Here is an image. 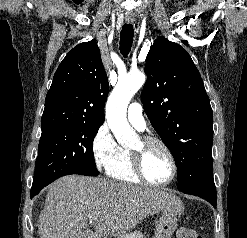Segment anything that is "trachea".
Masks as SVG:
<instances>
[{"label":"trachea","mask_w":247,"mask_h":238,"mask_svg":"<svg viewBox=\"0 0 247 238\" xmlns=\"http://www.w3.org/2000/svg\"><path fill=\"white\" fill-rule=\"evenodd\" d=\"M134 29L131 24H124L120 33V52L127 57L133 43Z\"/></svg>","instance_id":"trachea-1"}]
</instances>
